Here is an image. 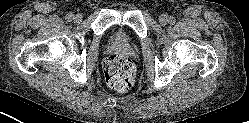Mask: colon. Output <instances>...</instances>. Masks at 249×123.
<instances>
[{
    "label": "colon",
    "instance_id": "5ec220e1",
    "mask_svg": "<svg viewBox=\"0 0 249 123\" xmlns=\"http://www.w3.org/2000/svg\"><path fill=\"white\" fill-rule=\"evenodd\" d=\"M104 75L111 89L125 92L134 85L135 67L125 55L114 54L104 62Z\"/></svg>",
    "mask_w": 249,
    "mask_h": 123
}]
</instances>
